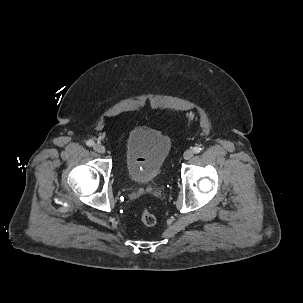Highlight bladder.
Listing matches in <instances>:
<instances>
[{
  "label": "bladder",
  "mask_w": 303,
  "mask_h": 303,
  "mask_svg": "<svg viewBox=\"0 0 303 303\" xmlns=\"http://www.w3.org/2000/svg\"><path fill=\"white\" fill-rule=\"evenodd\" d=\"M171 149V139L165 133L139 126L127 135L124 145L128 178L136 184H149L161 173Z\"/></svg>",
  "instance_id": "1"
}]
</instances>
